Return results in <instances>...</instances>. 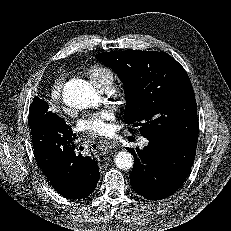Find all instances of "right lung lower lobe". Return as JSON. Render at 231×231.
Instances as JSON below:
<instances>
[{"label":"right lung lower lobe","mask_w":231,"mask_h":231,"mask_svg":"<svg viewBox=\"0 0 231 231\" xmlns=\"http://www.w3.org/2000/svg\"><path fill=\"white\" fill-rule=\"evenodd\" d=\"M30 128L36 162L59 194L79 199L95 190L100 175L94 155L75 152L71 127L45 101Z\"/></svg>","instance_id":"1"}]
</instances>
